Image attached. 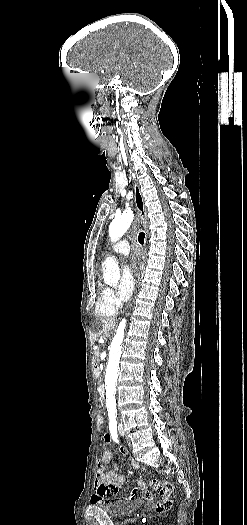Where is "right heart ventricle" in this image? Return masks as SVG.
<instances>
[{"label":"right heart ventricle","mask_w":247,"mask_h":525,"mask_svg":"<svg viewBox=\"0 0 247 525\" xmlns=\"http://www.w3.org/2000/svg\"><path fill=\"white\" fill-rule=\"evenodd\" d=\"M98 293L99 301L94 310L95 317H116L118 314V307L115 305H109L105 302L104 298L108 294V289L102 281L99 282Z\"/></svg>","instance_id":"right-heart-ventricle-1"}]
</instances>
